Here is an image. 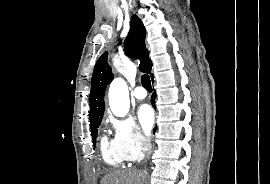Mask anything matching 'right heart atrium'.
<instances>
[{
	"label": "right heart atrium",
	"instance_id": "d8ad5b80",
	"mask_svg": "<svg viewBox=\"0 0 270 184\" xmlns=\"http://www.w3.org/2000/svg\"><path fill=\"white\" fill-rule=\"evenodd\" d=\"M113 129V141L126 158L127 161L134 162L141 159L150 146V140L145 136L131 118L109 119Z\"/></svg>",
	"mask_w": 270,
	"mask_h": 184
}]
</instances>
